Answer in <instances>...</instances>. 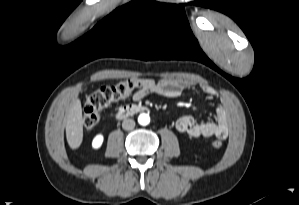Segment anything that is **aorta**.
I'll use <instances>...</instances> for the list:
<instances>
[{"label": "aorta", "instance_id": "aorta-1", "mask_svg": "<svg viewBox=\"0 0 299 205\" xmlns=\"http://www.w3.org/2000/svg\"><path fill=\"white\" fill-rule=\"evenodd\" d=\"M138 122L140 125H148L150 122V117L146 113H141L138 117Z\"/></svg>", "mask_w": 299, "mask_h": 205}]
</instances>
